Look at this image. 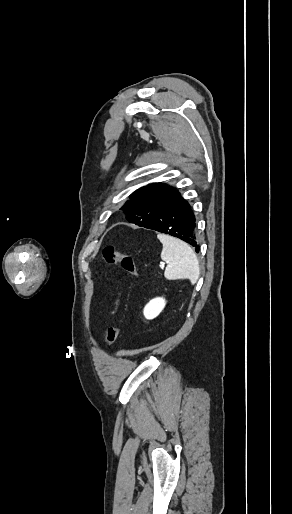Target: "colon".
<instances>
[{"label": "colon", "instance_id": "5ec220e1", "mask_svg": "<svg viewBox=\"0 0 292 514\" xmlns=\"http://www.w3.org/2000/svg\"><path fill=\"white\" fill-rule=\"evenodd\" d=\"M103 263L107 266H120L124 271L135 274L137 273V266L131 254L119 252L114 246H106L102 249ZM122 327L118 325H111L105 329L103 340L105 344L109 345L114 343L120 336Z\"/></svg>", "mask_w": 292, "mask_h": 514}]
</instances>
